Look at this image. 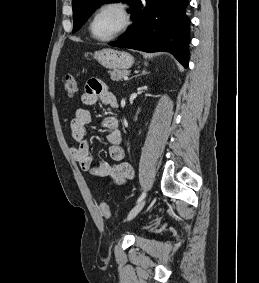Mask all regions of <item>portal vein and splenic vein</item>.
Segmentation results:
<instances>
[{
	"label": "portal vein and splenic vein",
	"mask_w": 259,
	"mask_h": 283,
	"mask_svg": "<svg viewBox=\"0 0 259 283\" xmlns=\"http://www.w3.org/2000/svg\"><path fill=\"white\" fill-rule=\"evenodd\" d=\"M124 80L127 81L128 80V76H124Z\"/></svg>",
	"instance_id": "18ae733b"
}]
</instances>
